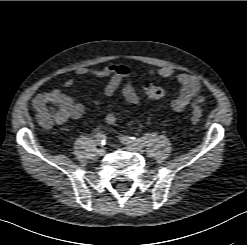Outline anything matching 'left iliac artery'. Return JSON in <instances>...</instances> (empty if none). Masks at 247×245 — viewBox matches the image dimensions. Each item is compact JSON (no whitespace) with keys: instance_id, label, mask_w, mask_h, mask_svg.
Listing matches in <instances>:
<instances>
[{"instance_id":"obj_1","label":"left iliac artery","mask_w":247,"mask_h":245,"mask_svg":"<svg viewBox=\"0 0 247 245\" xmlns=\"http://www.w3.org/2000/svg\"><path fill=\"white\" fill-rule=\"evenodd\" d=\"M157 135H158L157 132H153V133L145 134L144 137H140V138L124 136L122 139L126 143L145 146L146 144L151 142L154 138H156Z\"/></svg>"}]
</instances>
